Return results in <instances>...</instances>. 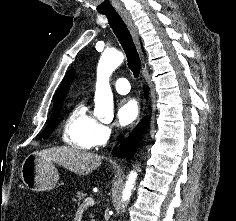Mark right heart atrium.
<instances>
[{
	"label": "right heart atrium",
	"mask_w": 236,
	"mask_h": 221,
	"mask_svg": "<svg viewBox=\"0 0 236 221\" xmlns=\"http://www.w3.org/2000/svg\"><path fill=\"white\" fill-rule=\"evenodd\" d=\"M114 135V128L106 123H99L95 134V145H103Z\"/></svg>",
	"instance_id": "d8ad5b80"
}]
</instances>
